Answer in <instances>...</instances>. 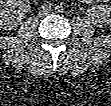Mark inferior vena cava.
<instances>
[{
    "mask_svg": "<svg viewBox=\"0 0 111 106\" xmlns=\"http://www.w3.org/2000/svg\"><path fill=\"white\" fill-rule=\"evenodd\" d=\"M51 10H52V8H51L50 5H48V4H43V5L40 6V11H39V13H41V14H48V13L51 12Z\"/></svg>",
    "mask_w": 111,
    "mask_h": 106,
    "instance_id": "602c4592",
    "label": "inferior vena cava"
}]
</instances>
